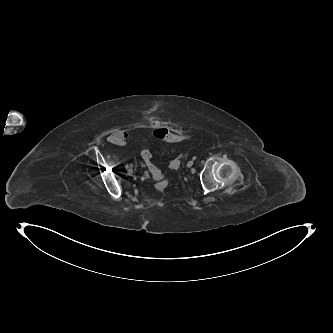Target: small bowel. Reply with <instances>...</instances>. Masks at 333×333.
<instances>
[{
    "label": "small bowel",
    "mask_w": 333,
    "mask_h": 333,
    "mask_svg": "<svg viewBox=\"0 0 333 333\" xmlns=\"http://www.w3.org/2000/svg\"><path fill=\"white\" fill-rule=\"evenodd\" d=\"M154 132L155 130L150 133V136L148 138H144L145 143H147L149 139L158 140V138L155 137ZM107 139L113 144L122 145L127 139V133L123 129H116L108 136Z\"/></svg>",
    "instance_id": "1"
}]
</instances>
